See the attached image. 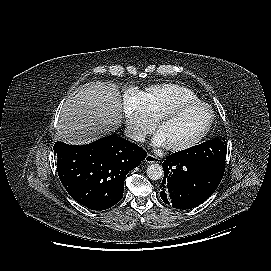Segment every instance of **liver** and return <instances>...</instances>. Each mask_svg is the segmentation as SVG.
<instances>
[{
	"label": "liver",
	"instance_id": "1",
	"mask_svg": "<svg viewBox=\"0 0 271 271\" xmlns=\"http://www.w3.org/2000/svg\"><path fill=\"white\" fill-rule=\"evenodd\" d=\"M121 108L115 84L88 83L66 99L55 136L69 144L90 143L120 126Z\"/></svg>",
	"mask_w": 271,
	"mask_h": 271
}]
</instances>
